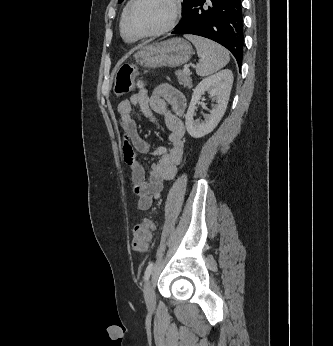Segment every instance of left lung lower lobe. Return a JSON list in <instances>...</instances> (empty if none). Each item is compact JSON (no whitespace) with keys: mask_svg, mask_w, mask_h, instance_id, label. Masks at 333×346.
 Here are the masks:
<instances>
[{"mask_svg":"<svg viewBox=\"0 0 333 346\" xmlns=\"http://www.w3.org/2000/svg\"><path fill=\"white\" fill-rule=\"evenodd\" d=\"M241 0H191L174 34H194L226 47L238 65L243 58Z\"/></svg>","mask_w":333,"mask_h":346,"instance_id":"1","label":"left lung lower lobe"}]
</instances>
